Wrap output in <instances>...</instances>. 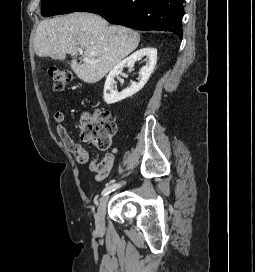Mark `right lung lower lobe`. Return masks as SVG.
Segmentation results:
<instances>
[{
    "mask_svg": "<svg viewBox=\"0 0 255 272\" xmlns=\"http://www.w3.org/2000/svg\"><path fill=\"white\" fill-rule=\"evenodd\" d=\"M78 11L137 30H163L180 39L183 36V0H92Z\"/></svg>",
    "mask_w": 255,
    "mask_h": 272,
    "instance_id": "obj_1",
    "label": "right lung lower lobe"
}]
</instances>
